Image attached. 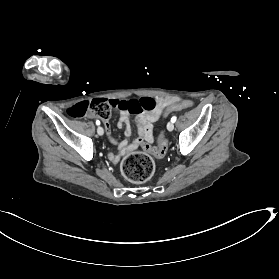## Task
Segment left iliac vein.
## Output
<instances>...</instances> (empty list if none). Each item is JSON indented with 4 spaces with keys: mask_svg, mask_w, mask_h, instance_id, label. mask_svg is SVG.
Masks as SVG:
<instances>
[{
    "mask_svg": "<svg viewBox=\"0 0 279 279\" xmlns=\"http://www.w3.org/2000/svg\"><path fill=\"white\" fill-rule=\"evenodd\" d=\"M167 129H168L169 131H172V130L174 129V124H173V122H168V124H167Z\"/></svg>",
    "mask_w": 279,
    "mask_h": 279,
    "instance_id": "obj_1",
    "label": "left iliac vein"
}]
</instances>
